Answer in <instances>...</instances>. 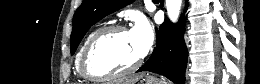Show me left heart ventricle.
<instances>
[{"mask_svg":"<svg viewBox=\"0 0 260 84\" xmlns=\"http://www.w3.org/2000/svg\"><path fill=\"white\" fill-rule=\"evenodd\" d=\"M140 57L131 33H114L98 42L90 63L94 71L107 73L128 68Z\"/></svg>","mask_w":260,"mask_h":84,"instance_id":"b2bd125f","label":"left heart ventricle"}]
</instances>
